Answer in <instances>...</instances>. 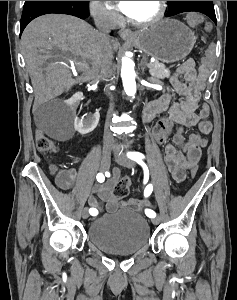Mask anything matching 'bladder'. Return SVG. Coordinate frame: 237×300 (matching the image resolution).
Listing matches in <instances>:
<instances>
[{
  "instance_id": "31cf9c89",
  "label": "bladder",
  "mask_w": 237,
  "mask_h": 300,
  "mask_svg": "<svg viewBox=\"0 0 237 300\" xmlns=\"http://www.w3.org/2000/svg\"><path fill=\"white\" fill-rule=\"evenodd\" d=\"M87 238L103 252L131 255L148 245L150 225L142 214L124 209L118 215L93 220L87 229Z\"/></svg>"
}]
</instances>
